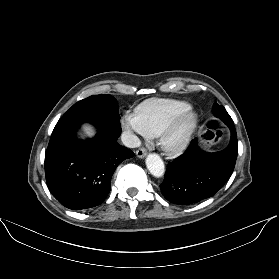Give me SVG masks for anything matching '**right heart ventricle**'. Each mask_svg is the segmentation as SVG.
<instances>
[{
    "label": "right heart ventricle",
    "mask_w": 279,
    "mask_h": 279,
    "mask_svg": "<svg viewBox=\"0 0 279 279\" xmlns=\"http://www.w3.org/2000/svg\"><path fill=\"white\" fill-rule=\"evenodd\" d=\"M190 104L174 99H154L140 104L136 113L147 136L158 137L161 130Z\"/></svg>",
    "instance_id": "e07e8e85"
}]
</instances>
